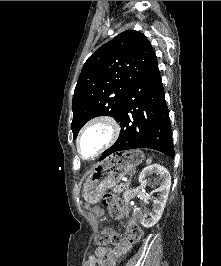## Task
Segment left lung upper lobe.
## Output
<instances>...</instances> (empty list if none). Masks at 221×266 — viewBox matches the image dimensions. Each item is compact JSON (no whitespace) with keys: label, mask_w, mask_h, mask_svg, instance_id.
<instances>
[{"label":"left lung upper lobe","mask_w":221,"mask_h":266,"mask_svg":"<svg viewBox=\"0 0 221 266\" xmlns=\"http://www.w3.org/2000/svg\"><path fill=\"white\" fill-rule=\"evenodd\" d=\"M157 67L150 41L134 30L120 33L96 50L85 62L75 87L73 139L94 117L112 116L118 121L130 88Z\"/></svg>","instance_id":"obj_1"}]
</instances>
